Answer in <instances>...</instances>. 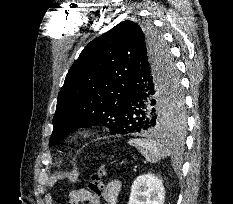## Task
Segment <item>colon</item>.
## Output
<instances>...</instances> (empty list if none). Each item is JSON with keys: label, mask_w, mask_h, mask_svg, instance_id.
Masks as SVG:
<instances>
[{"label": "colon", "mask_w": 233, "mask_h": 204, "mask_svg": "<svg viewBox=\"0 0 233 204\" xmlns=\"http://www.w3.org/2000/svg\"><path fill=\"white\" fill-rule=\"evenodd\" d=\"M109 175V168L107 165H100L90 176V182L88 188L85 189L87 195L92 199H98L101 197L104 187V182ZM84 200V194L80 189L72 190L69 193L70 204H82Z\"/></svg>", "instance_id": "obj_1"}]
</instances>
